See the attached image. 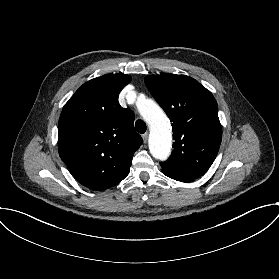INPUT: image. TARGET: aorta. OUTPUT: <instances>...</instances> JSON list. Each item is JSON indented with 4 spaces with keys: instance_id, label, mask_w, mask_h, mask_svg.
Here are the masks:
<instances>
[{
    "instance_id": "762f6f07",
    "label": "aorta",
    "mask_w": 279,
    "mask_h": 279,
    "mask_svg": "<svg viewBox=\"0 0 279 279\" xmlns=\"http://www.w3.org/2000/svg\"><path fill=\"white\" fill-rule=\"evenodd\" d=\"M139 110L150 127L149 149L153 157L166 160L172 147L170 121L163 110L152 100L139 104Z\"/></svg>"
}]
</instances>
